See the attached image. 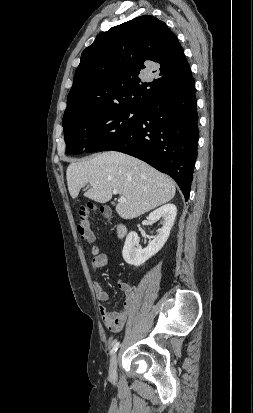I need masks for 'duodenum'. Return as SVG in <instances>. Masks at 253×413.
Instances as JSON below:
<instances>
[{"label":"duodenum","instance_id":"duodenum-1","mask_svg":"<svg viewBox=\"0 0 253 413\" xmlns=\"http://www.w3.org/2000/svg\"><path fill=\"white\" fill-rule=\"evenodd\" d=\"M127 233V228L124 224H118L117 226V234L120 238L124 237Z\"/></svg>","mask_w":253,"mask_h":413}]
</instances>
